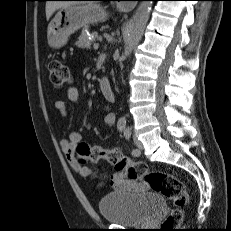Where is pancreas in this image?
Segmentation results:
<instances>
[{"instance_id":"obj_1","label":"pancreas","mask_w":231,"mask_h":231,"mask_svg":"<svg viewBox=\"0 0 231 231\" xmlns=\"http://www.w3.org/2000/svg\"><path fill=\"white\" fill-rule=\"evenodd\" d=\"M87 32H89V28L85 27L82 32L81 35L78 38V41L75 43L76 46L80 47V48H86L89 49L91 46V43L95 40H89V36L87 35ZM93 35L97 36V33H93Z\"/></svg>"}]
</instances>
